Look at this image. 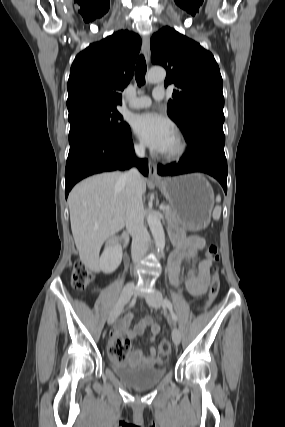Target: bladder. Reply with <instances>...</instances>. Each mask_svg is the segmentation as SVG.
<instances>
[{
  "mask_svg": "<svg viewBox=\"0 0 285 427\" xmlns=\"http://www.w3.org/2000/svg\"><path fill=\"white\" fill-rule=\"evenodd\" d=\"M112 368L122 382L138 390L150 389L157 386L166 375L164 367L129 366L112 363Z\"/></svg>",
  "mask_w": 285,
  "mask_h": 427,
  "instance_id": "1",
  "label": "bladder"
}]
</instances>
